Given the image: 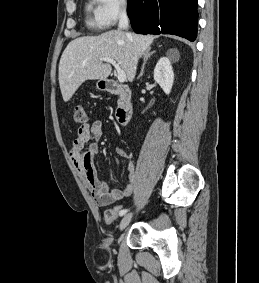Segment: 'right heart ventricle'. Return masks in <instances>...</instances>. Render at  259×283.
Wrapping results in <instances>:
<instances>
[{
	"label": "right heart ventricle",
	"instance_id": "obj_1",
	"mask_svg": "<svg viewBox=\"0 0 259 283\" xmlns=\"http://www.w3.org/2000/svg\"><path fill=\"white\" fill-rule=\"evenodd\" d=\"M91 24L94 26V27H101L100 23L98 22L97 18L95 17V19L93 20H90Z\"/></svg>",
	"mask_w": 259,
	"mask_h": 283
}]
</instances>
